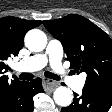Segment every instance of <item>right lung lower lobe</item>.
<instances>
[{
  "instance_id": "98d812e1",
  "label": "right lung lower lobe",
  "mask_w": 112,
  "mask_h": 112,
  "mask_svg": "<svg viewBox=\"0 0 112 112\" xmlns=\"http://www.w3.org/2000/svg\"><path fill=\"white\" fill-rule=\"evenodd\" d=\"M41 92L43 88L40 78L30 82H21L13 89L0 112H33V96Z\"/></svg>"
}]
</instances>
